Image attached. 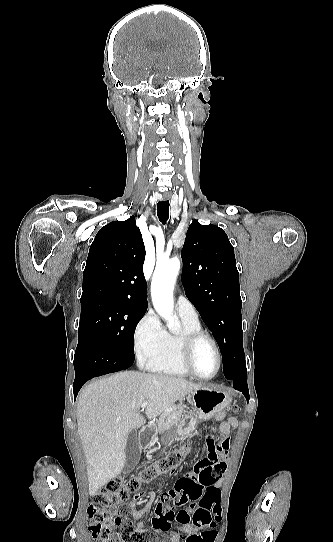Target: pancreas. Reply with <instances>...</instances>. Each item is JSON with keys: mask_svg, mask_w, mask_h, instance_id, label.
Here are the masks:
<instances>
[{"mask_svg": "<svg viewBox=\"0 0 333 542\" xmlns=\"http://www.w3.org/2000/svg\"><path fill=\"white\" fill-rule=\"evenodd\" d=\"M187 414L188 412H184L183 404L174 406L172 412H163V414L159 416V420H157L156 432H158V434H166L168 430L174 428L175 424H178L181 420H185V418H190Z\"/></svg>", "mask_w": 333, "mask_h": 542, "instance_id": "pancreas-1", "label": "pancreas"}]
</instances>
